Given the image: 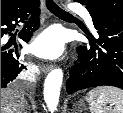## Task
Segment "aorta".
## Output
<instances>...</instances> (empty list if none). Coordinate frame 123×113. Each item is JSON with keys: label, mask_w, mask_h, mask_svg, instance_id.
Masks as SVG:
<instances>
[{"label": "aorta", "mask_w": 123, "mask_h": 113, "mask_svg": "<svg viewBox=\"0 0 123 113\" xmlns=\"http://www.w3.org/2000/svg\"><path fill=\"white\" fill-rule=\"evenodd\" d=\"M62 81L63 71L59 68L52 70L45 79L43 95L51 113L57 110Z\"/></svg>", "instance_id": "1"}]
</instances>
